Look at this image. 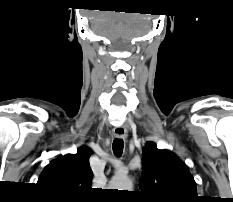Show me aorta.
Returning a JSON list of instances; mask_svg holds the SVG:
<instances>
[{
    "instance_id": "1",
    "label": "aorta",
    "mask_w": 233,
    "mask_h": 202,
    "mask_svg": "<svg viewBox=\"0 0 233 202\" xmlns=\"http://www.w3.org/2000/svg\"><path fill=\"white\" fill-rule=\"evenodd\" d=\"M111 189L130 190L132 189V181L127 176H116L110 184Z\"/></svg>"
}]
</instances>
